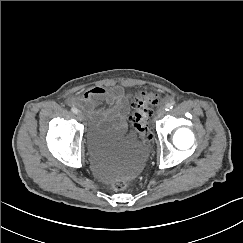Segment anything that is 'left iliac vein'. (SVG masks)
I'll return each instance as SVG.
<instances>
[{
	"instance_id": "left-iliac-vein-1",
	"label": "left iliac vein",
	"mask_w": 243,
	"mask_h": 243,
	"mask_svg": "<svg viewBox=\"0 0 243 243\" xmlns=\"http://www.w3.org/2000/svg\"><path fill=\"white\" fill-rule=\"evenodd\" d=\"M165 115V109L164 108H159L156 114V118L159 119Z\"/></svg>"
}]
</instances>
